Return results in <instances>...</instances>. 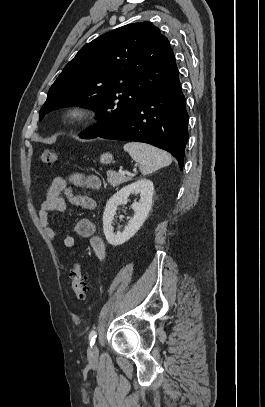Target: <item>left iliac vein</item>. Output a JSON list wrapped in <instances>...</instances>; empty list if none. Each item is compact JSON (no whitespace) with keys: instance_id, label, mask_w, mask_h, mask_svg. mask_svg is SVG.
<instances>
[{"instance_id":"4c4485c4","label":"left iliac vein","mask_w":265,"mask_h":407,"mask_svg":"<svg viewBox=\"0 0 265 407\" xmlns=\"http://www.w3.org/2000/svg\"><path fill=\"white\" fill-rule=\"evenodd\" d=\"M97 354H98V350H97L96 345L91 346V347L88 349V355H89V357H90L91 359L95 358V357L97 356Z\"/></svg>"}]
</instances>
